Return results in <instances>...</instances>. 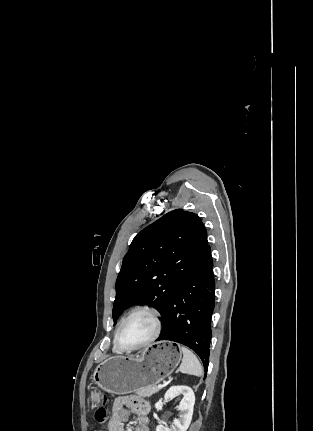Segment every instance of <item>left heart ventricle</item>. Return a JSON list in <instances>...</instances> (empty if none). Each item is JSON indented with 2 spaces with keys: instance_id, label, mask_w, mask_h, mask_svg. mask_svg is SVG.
I'll return each mask as SVG.
<instances>
[{
  "instance_id": "b2bd125f",
  "label": "left heart ventricle",
  "mask_w": 313,
  "mask_h": 431,
  "mask_svg": "<svg viewBox=\"0 0 313 431\" xmlns=\"http://www.w3.org/2000/svg\"><path fill=\"white\" fill-rule=\"evenodd\" d=\"M154 328V321L149 314L137 313L123 326L119 334V342L127 348L137 346L152 336Z\"/></svg>"
}]
</instances>
